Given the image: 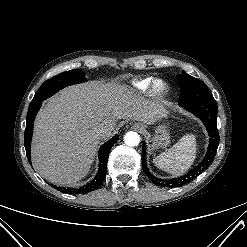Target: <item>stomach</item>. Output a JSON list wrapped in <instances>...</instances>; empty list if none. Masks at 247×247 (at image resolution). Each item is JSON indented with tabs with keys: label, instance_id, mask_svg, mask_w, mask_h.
I'll return each instance as SVG.
<instances>
[{
	"label": "stomach",
	"instance_id": "obj_1",
	"mask_svg": "<svg viewBox=\"0 0 247 247\" xmlns=\"http://www.w3.org/2000/svg\"><path fill=\"white\" fill-rule=\"evenodd\" d=\"M170 144L169 129L166 125H159L152 137V148H166Z\"/></svg>",
	"mask_w": 247,
	"mask_h": 247
}]
</instances>
